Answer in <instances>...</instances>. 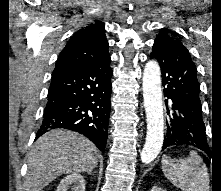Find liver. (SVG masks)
<instances>
[{
	"mask_svg": "<svg viewBox=\"0 0 221 191\" xmlns=\"http://www.w3.org/2000/svg\"><path fill=\"white\" fill-rule=\"evenodd\" d=\"M97 164L98 150L90 140L73 131L51 130L29 153L26 191H41L62 174L89 172Z\"/></svg>",
	"mask_w": 221,
	"mask_h": 191,
	"instance_id": "obj_1",
	"label": "liver"
}]
</instances>
